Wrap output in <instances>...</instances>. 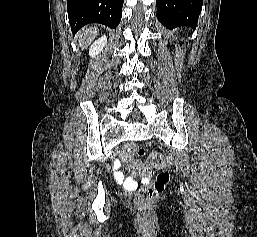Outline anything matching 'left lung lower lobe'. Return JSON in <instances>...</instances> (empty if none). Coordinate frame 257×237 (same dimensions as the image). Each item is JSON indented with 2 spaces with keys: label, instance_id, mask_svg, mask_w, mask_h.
Returning a JSON list of instances; mask_svg holds the SVG:
<instances>
[{
  "label": "left lung lower lobe",
  "instance_id": "0a47b994",
  "mask_svg": "<svg viewBox=\"0 0 257 237\" xmlns=\"http://www.w3.org/2000/svg\"><path fill=\"white\" fill-rule=\"evenodd\" d=\"M203 0H156L157 18L168 29L196 28Z\"/></svg>",
  "mask_w": 257,
  "mask_h": 237
}]
</instances>
